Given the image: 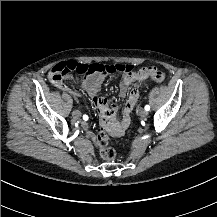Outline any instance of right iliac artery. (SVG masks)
<instances>
[{
	"label": "right iliac artery",
	"mask_w": 217,
	"mask_h": 217,
	"mask_svg": "<svg viewBox=\"0 0 217 217\" xmlns=\"http://www.w3.org/2000/svg\"><path fill=\"white\" fill-rule=\"evenodd\" d=\"M83 120H85V121H88L89 120V117H88V115H83Z\"/></svg>",
	"instance_id": "obj_1"
}]
</instances>
